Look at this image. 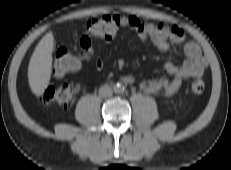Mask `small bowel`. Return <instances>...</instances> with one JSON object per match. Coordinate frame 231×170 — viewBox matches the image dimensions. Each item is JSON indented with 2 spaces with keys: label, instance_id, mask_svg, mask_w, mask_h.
<instances>
[{
  "label": "small bowel",
  "instance_id": "obj_1",
  "mask_svg": "<svg viewBox=\"0 0 231 170\" xmlns=\"http://www.w3.org/2000/svg\"><path fill=\"white\" fill-rule=\"evenodd\" d=\"M132 28L140 39L150 41L158 50L166 52L170 49V43L183 44V51L186 60L181 66L171 61L165 63L166 71L172 76L167 78H152L140 83V88L148 94H157L164 92L167 95H173L179 91L186 79L201 76L206 68L207 62L201 49L194 42L184 43V33L178 25L168 26L165 23H143L134 16L128 17L127 25ZM80 45L88 56L94 58V50L91 38L88 35L80 39ZM96 63L101 66L99 58ZM125 83L132 84L135 77L132 75L124 76Z\"/></svg>",
  "mask_w": 231,
  "mask_h": 170
}]
</instances>
